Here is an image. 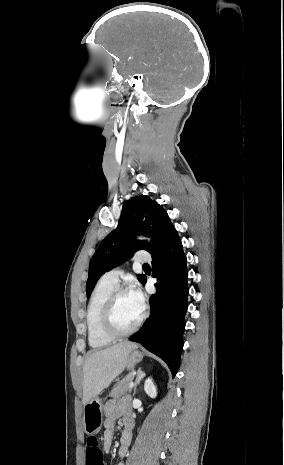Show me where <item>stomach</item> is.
Here are the masks:
<instances>
[{"label":"stomach","instance_id":"0dacf381","mask_svg":"<svg viewBox=\"0 0 284 465\" xmlns=\"http://www.w3.org/2000/svg\"><path fill=\"white\" fill-rule=\"evenodd\" d=\"M143 359V353L140 351H130L126 367L127 369H134L137 363H140ZM103 423V405L99 397H95L89 403L84 405L83 409V425L84 431L87 435H97L99 433Z\"/></svg>","mask_w":284,"mask_h":465}]
</instances>
